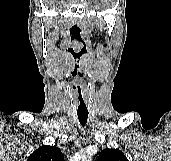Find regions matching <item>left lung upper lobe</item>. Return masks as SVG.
Returning a JSON list of instances; mask_svg holds the SVG:
<instances>
[{
    "instance_id": "left-lung-upper-lobe-1",
    "label": "left lung upper lobe",
    "mask_w": 171,
    "mask_h": 161,
    "mask_svg": "<svg viewBox=\"0 0 171 161\" xmlns=\"http://www.w3.org/2000/svg\"><path fill=\"white\" fill-rule=\"evenodd\" d=\"M98 161H128L120 150L106 148L99 154Z\"/></svg>"
}]
</instances>
